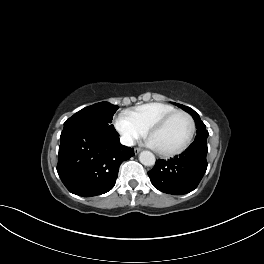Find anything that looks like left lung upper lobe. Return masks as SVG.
<instances>
[{
    "mask_svg": "<svg viewBox=\"0 0 264 264\" xmlns=\"http://www.w3.org/2000/svg\"><path fill=\"white\" fill-rule=\"evenodd\" d=\"M178 107L182 108L183 110L189 112L196 122L197 128V135L194 142H207V137L209 135L208 131L206 130L205 124L200 120L199 115L190 107L184 106L182 104L174 103Z\"/></svg>",
    "mask_w": 264,
    "mask_h": 264,
    "instance_id": "left-lung-upper-lobe-1",
    "label": "left lung upper lobe"
}]
</instances>
